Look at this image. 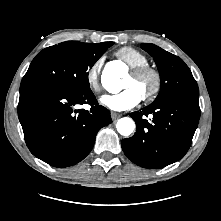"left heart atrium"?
Segmentation results:
<instances>
[{
	"label": "left heart atrium",
	"mask_w": 221,
	"mask_h": 221,
	"mask_svg": "<svg viewBox=\"0 0 221 221\" xmlns=\"http://www.w3.org/2000/svg\"><path fill=\"white\" fill-rule=\"evenodd\" d=\"M142 100L140 92L133 86L114 94L103 95L101 103L114 111H125L138 105Z\"/></svg>",
	"instance_id": "obj_1"
}]
</instances>
